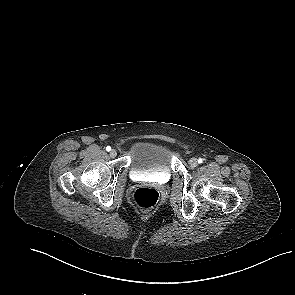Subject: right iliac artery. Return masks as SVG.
<instances>
[{
	"mask_svg": "<svg viewBox=\"0 0 295 295\" xmlns=\"http://www.w3.org/2000/svg\"><path fill=\"white\" fill-rule=\"evenodd\" d=\"M110 150H111V147H110V146H107V147H106V151L109 152Z\"/></svg>",
	"mask_w": 295,
	"mask_h": 295,
	"instance_id": "right-iliac-artery-1",
	"label": "right iliac artery"
}]
</instances>
